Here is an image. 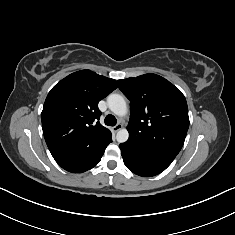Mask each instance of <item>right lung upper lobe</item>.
Masks as SVG:
<instances>
[{
  "instance_id": "obj_1",
  "label": "right lung upper lobe",
  "mask_w": 235,
  "mask_h": 235,
  "mask_svg": "<svg viewBox=\"0 0 235 235\" xmlns=\"http://www.w3.org/2000/svg\"><path fill=\"white\" fill-rule=\"evenodd\" d=\"M116 88V80L81 70L51 89L41 120L46 144L56 161L95 151L112 136L98 121V103Z\"/></svg>"
}]
</instances>
